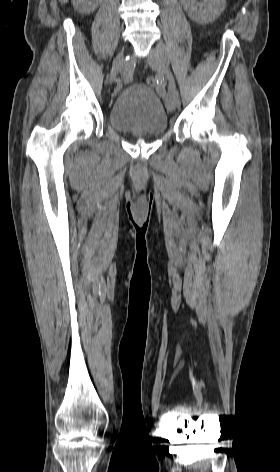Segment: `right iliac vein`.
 Masks as SVG:
<instances>
[{"instance_id":"obj_1","label":"right iliac vein","mask_w":280,"mask_h":472,"mask_svg":"<svg viewBox=\"0 0 280 472\" xmlns=\"http://www.w3.org/2000/svg\"><path fill=\"white\" fill-rule=\"evenodd\" d=\"M124 66V54L119 53L113 61L112 68L109 75V82H112L115 76L121 72Z\"/></svg>"}]
</instances>
